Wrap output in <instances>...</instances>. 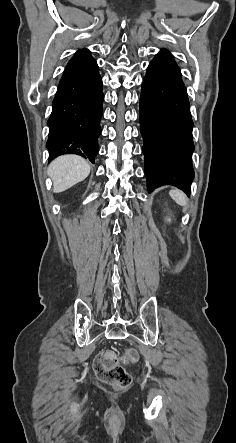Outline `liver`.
Wrapping results in <instances>:
<instances>
[{
	"mask_svg": "<svg viewBox=\"0 0 236 443\" xmlns=\"http://www.w3.org/2000/svg\"><path fill=\"white\" fill-rule=\"evenodd\" d=\"M90 173L89 163L77 155H64L56 158L48 167V175L53 180V192H63L83 181Z\"/></svg>",
	"mask_w": 236,
	"mask_h": 443,
	"instance_id": "6515ba94",
	"label": "liver"
}]
</instances>
